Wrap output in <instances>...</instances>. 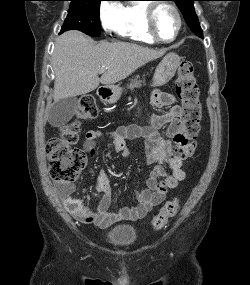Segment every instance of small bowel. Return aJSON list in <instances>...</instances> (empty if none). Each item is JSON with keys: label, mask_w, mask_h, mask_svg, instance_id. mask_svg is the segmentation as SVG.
<instances>
[{"label": "small bowel", "mask_w": 250, "mask_h": 285, "mask_svg": "<svg viewBox=\"0 0 250 285\" xmlns=\"http://www.w3.org/2000/svg\"><path fill=\"white\" fill-rule=\"evenodd\" d=\"M151 101L156 107H167L172 104L173 97L169 93L155 91ZM179 112L180 107L175 106L164 114L153 115L147 126H120L105 133L96 129L87 131L83 148L92 156L95 154L96 140L103 135L112 140L115 151L122 157H126L129 153L127 141L143 139L146 162L153 168L147 179V187L137 193L138 205L123 207L116 212L109 210L112 189L110 180L103 170L98 172L95 184L101 199L93 209L74 196L76 188L73 184L58 182L57 193L66 210L78 221L102 228L121 221H136L144 218L164 200L169 190L176 188L178 183L185 179L182 165L195 149L194 142L184 135ZM164 126H167L166 137L158 132V129Z\"/></svg>", "instance_id": "obj_1"}]
</instances>
